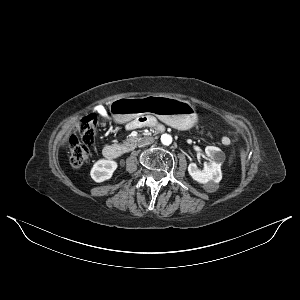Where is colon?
Here are the masks:
<instances>
[{
	"mask_svg": "<svg viewBox=\"0 0 300 300\" xmlns=\"http://www.w3.org/2000/svg\"><path fill=\"white\" fill-rule=\"evenodd\" d=\"M98 121L91 115L82 119L77 125V134L68 140L69 160L73 167L82 166L90 156V148L96 140Z\"/></svg>",
	"mask_w": 300,
	"mask_h": 300,
	"instance_id": "obj_1",
	"label": "colon"
}]
</instances>
